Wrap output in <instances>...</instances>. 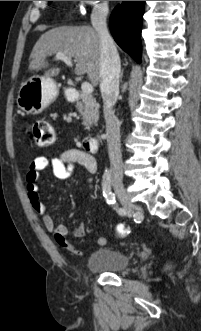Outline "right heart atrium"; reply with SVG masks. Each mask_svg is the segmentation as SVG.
Returning <instances> with one entry per match:
<instances>
[{
  "label": "right heart atrium",
  "mask_w": 201,
  "mask_h": 331,
  "mask_svg": "<svg viewBox=\"0 0 201 331\" xmlns=\"http://www.w3.org/2000/svg\"><path fill=\"white\" fill-rule=\"evenodd\" d=\"M81 15L87 16V19H101L107 16L109 1H79Z\"/></svg>",
  "instance_id": "right-heart-atrium-1"
}]
</instances>
